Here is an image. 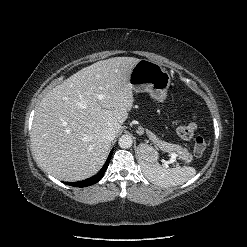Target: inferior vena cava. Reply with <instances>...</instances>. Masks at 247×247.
Returning <instances> with one entry per match:
<instances>
[{"label": "inferior vena cava", "mask_w": 247, "mask_h": 247, "mask_svg": "<svg viewBox=\"0 0 247 247\" xmlns=\"http://www.w3.org/2000/svg\"><path fill=\"white\" fill-rule=\"evenodd\" d=\"M115 136L116 132L113 128H107L103 131V137L108 141H112L115 138Z\"/></svg>", "instance_id": "602c4592"}]
</instances>
